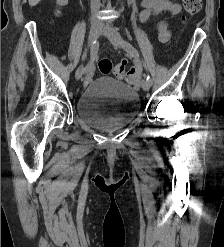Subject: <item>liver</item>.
<instances>
[{
  "label": "liver",
  "mask_w": 224,
  "mask_h": 247,
  "mask_svg": "<svg viewBox=\"0 0 224 247\" xmlns=\"http://www.w3.org/2000/svg\"><path fill=\"white\" fill-rule=\"evenodd\" d=\"M29 6H37L38 2H41V0H28Z\"/></svg>",
  "instance_id": "6515ba94"
}]
</instances>
